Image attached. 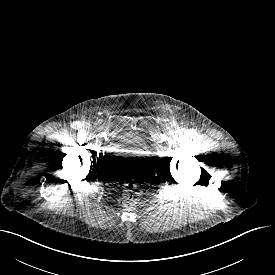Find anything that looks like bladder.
<instances>
[{
	"label": "bladder",
	"mask_w": 275,
	"mask_h": 275,
	"mask_svg": "<svg viewBox=\"0 0 275 275\" xmlns=\"http://www.w3.org/2000/svg\"><path fill=\"white\" fill-rule=\"evenodd\" d=\"M158 163V146L152 136L125 130L115 136L107 153L105 166L118 179L139 180L154 171Z\"/></svg>",
	"instance_id": "1"
}]
</instances>
